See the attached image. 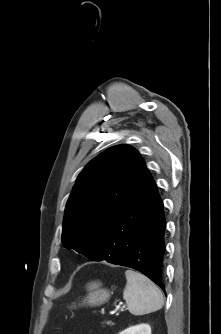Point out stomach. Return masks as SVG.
<instances>
[{"label":"stomach","instance_id":"1","mask_svg":"<svg viewBox=\"0 0 221 334\" xmlns=\"http://www.w3.org/2000/svg\"><path fill=\"white\" fill-rule=\"evenodd\" d=\"M89 291L86 298L83 300L81 305H88L96 307L104 304L110 298V292L107 289L101 288V283L91 282L87 285Z\"/></svg>","mask_w":221,"mask_h":334}]
</instances>
